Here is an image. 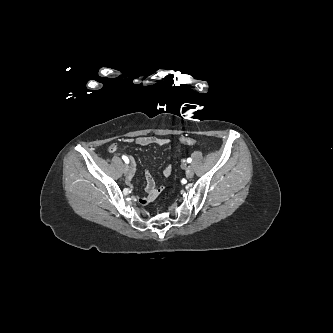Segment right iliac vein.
Returning a JSON list of instances; mask_svg holds the SVG:
<instances>
[{"label": "right iliac vein", "instance_id": "1", "mask_svg": "<svg viewBox=\"0 0 333 333\" xmlns=\"http://www.w3.org/2000/svg\"><path fill=\"white\" fill-rule=\"evenodd\" d=\"M123 172H124V174H128V172H129V166L128 165H124L123 166Z\"/></svg>", "mask_w": 333, "mask_h": 333}]
</instances>
